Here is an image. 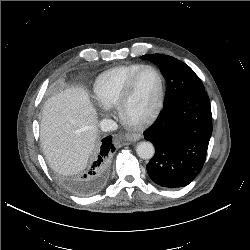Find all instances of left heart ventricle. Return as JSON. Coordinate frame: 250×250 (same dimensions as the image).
<instances>
[{"mask_svg": "<svg viewBox=\"0 0 250 250\" xmlns=\"http://www.w3.org/2000/svg\"><path fill=\"white\" fill-rule=\"evenodd\" d=\"M159 88L157 75L151 71H144L136 81L131 98L127 104V114L131 118H138L145 114L152 106Z\"/></svg>", "mask_w": 250, "mask_h": 250, "instance_id": "obj_1", "label": "left heart ventricle"}]
</instances>
